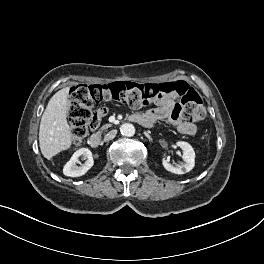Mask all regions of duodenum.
I'll return each mask as SVG.
<instances>
[{
    "label": "duodenum",
    "instance_id": "1",
    "mask_svg": "<svg viewBox=\"0 0 264 264\" xmlns=\"http://www.w3.org/2000/svg\"><path fill=\"white\" fill-rule=\"evenodd\" d=\"M130 120H132L133 122H136L138 124H140L141 126L143 127H146V128H149L151 127L153 124L147 120L146 118L140 116V115H132L130 117ZM88 142L90 144V146L92 147H98L101 142H102V136L100 133H94L92 134L89 139H88Z\"/></svg>",
    "mask_w": 264,
    "mask_h": 264
}]
</instances>
